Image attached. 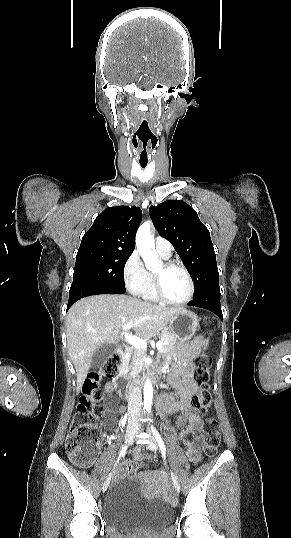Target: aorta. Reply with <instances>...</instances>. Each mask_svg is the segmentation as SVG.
Returning <instances> with one entry per match:
<instances>
[{"label":"aorta","instance_id":"1","mask_svg":"<svg viewBox=\"0 0 291 538\" xmlns=\"http://www.w3.org/2000/svg\"><path fill=\"white\" fill-rule=\"evenodd\" d=\"M152 245V237H151V223L150 222H144L137 231L136 234V246L138 249V252L142 256L146 268L147 269H154L158 268L161 265V261L159 260L156 253H154L151 250ZM152 399H153V387L152 382L148 378L145 381L144 384V408L146 411H150L152 407Z\"/></svg>","mask_w":291,"mask_h":538}]
</instances>
